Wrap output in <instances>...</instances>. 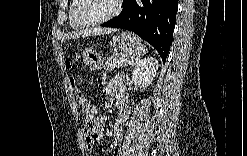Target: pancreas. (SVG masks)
Returning a JSON list of instances; mask_svg holds the SVG:
<instances>
[{
    "mask_svg": "<svg viewBox=\"0 0 247 156\" xmlns=\"http://www.w3.org/2000/svg\"><path fill=\"white\" fill-rule=\"evenodd\" d=\"M131 61H133L132 57L125 53H113V55L107 59L103 68L105 71H112L114 68L126 66Z\"/></svg>",
    "mask_w": 247,
    "mask_h": 156,
    "instance_id": "1",
    "label": "pancreas"
}]
</instances>
